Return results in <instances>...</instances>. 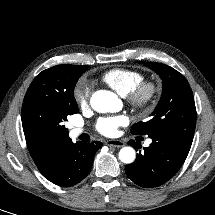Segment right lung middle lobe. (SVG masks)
Instances as JSON below:
<instances>
[{"mask_svg":"<svg viewBox=\"0 0 215 215\" xmlns=\"http://www.w3.org/2000/svg\"><path fill=\"white\" fill-rule=\"evenodd\" d=\"M87 65H57L39 73L31 83L22 105V123L43 138L68 135L63 125L78 112L74 88Z\"/></svg>","mask_w":215,"mask_h":215,"instance_id":"1","label":"right lung middle lobe"}]
</instances>
